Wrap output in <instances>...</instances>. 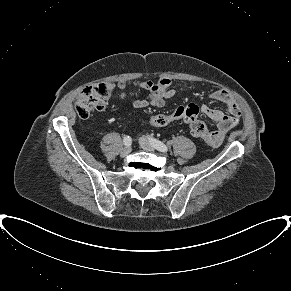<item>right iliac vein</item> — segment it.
Returning a JSON list of instances; mask_svg holds the SVG:
<instances>
[{
    "mask_svg": "<svg viewBox=\"0 0 291 291\" xmlns=\"http://www.w3.org/2000/svg\"><path fill=\"white\" fill-rule=\"evenodd\" d=\"M131 147L130 146H126L124 147L121 152H120V156L121 157H126L127 155H129V153L131 152Z\"/></svg>",
    "mask_w": 291,
    "mask_h": 291,
    "instance_id": "right-iliac-vein-1",
    "label": "right iliac vein"
}]
</instances>
